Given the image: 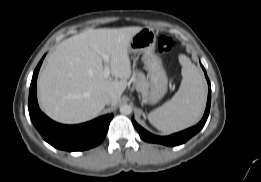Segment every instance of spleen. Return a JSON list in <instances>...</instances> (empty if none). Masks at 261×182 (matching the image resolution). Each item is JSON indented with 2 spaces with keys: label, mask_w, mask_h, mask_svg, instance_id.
I'll list each match as a JSON object with an SVG mask.
<instances>
[{
  "label": "spleen",
  "mask_w": 261,
  "mask_h": 182,
  "mask_svg": "<svg viewBox=\"0 0 261 182\" xmlns=\"http://www.w3.org/2000/svg\"><path fill=\"white\" fill-rule=\"evenodd\" d=\"M179 62L182 65L179 90L170 101L148 115L149 122L166 134L194 125L205 108L206 87L201 72L185 55L179 56Z\"/></svg>",
  "instance_id": "obj_1"
}]
</instances>
